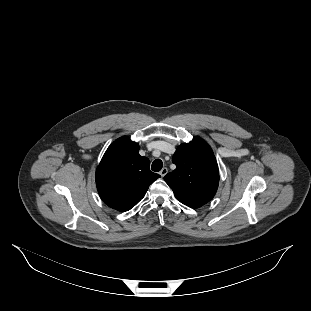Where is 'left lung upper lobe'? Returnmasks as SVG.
Wrapping results in <instances>:
<instances>
[{"label": "left lung upper lobe", "instance_id": "obj_1", "mask_svg": "<svg viewBox=\"0 0 311 311\" xmlns=\"http://www.w3.org/2000/svg\"><path fill=\"white\" fill-rule=\"evenodd\" d=\"M176 169L164 180L173 190L175 197L183 204L198 208L215 195L219 172L214 153L200 137L181 144L172 157Z\"/></svg>", "mask_w": 311, "mask_h": 311}]
</instances>
